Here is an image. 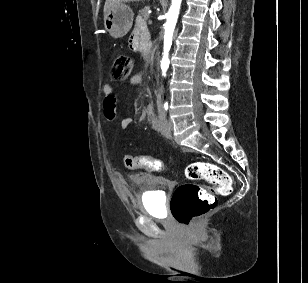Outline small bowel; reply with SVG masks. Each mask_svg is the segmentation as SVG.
<instances>
[{"label":"small bowel","instance_id":"1","mask_svg":"<svg viewBox=\"0 0 308 283\" xmlns=\"http://www.w3.org/2000/svg\"><path fill=\"white\" fill-rule=\"evenodd\" d=\"M143 33L148 34L147 32V28H146V24L145 21L139 17L136 19V23H135V28L132 32V34L130 35L129 38V47L130 49L134 50V51H139L140 50V44H139V40L140 37ZM141 82V74H135L132 76L131 78V83L132 84H138ZM103 93H104V116L107 120L109 121H114L117 117V99L116 96L114 94V89L113 86L109 83L104 84L103 86ZM145 110L140 108L139 109V115L140 117H144L145 116ZM132 119L128 116L124 117L121 119L120 121V127L122 129H127L128 126L130 125Z\"/></svg>","mask_w":308,"mask_h":283}]
</instances>
